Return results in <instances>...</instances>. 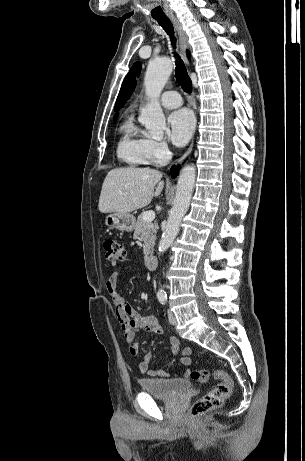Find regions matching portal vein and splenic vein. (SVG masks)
Instances as JSON below:
<instances>
[{
    "mask_svg": "<svg viewBox=\"0 0 305 461\" xmlns=\"http://www.w3.org/2000/svg\"><path fill=\"white\" fill-rule=\"evenodd\" d=\"M143 218H144L145 221L151 222L155 218V212L152 211V210L147 211V212L144 213Z\"/></svg>",
    "mask_w": 305,
    "mask_h": 461,
    "instance_id": "portal-vein-and-splenic-vein-1",
    "label": "portal vein and splenic vein"
}]
</instances>
